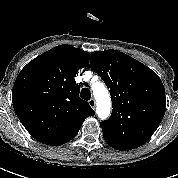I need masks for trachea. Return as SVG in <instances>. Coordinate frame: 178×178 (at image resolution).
Returning <instances> with one entry per match:
<instances>
[{
    "mask_svg": "<svg viewBox=\"0 0 178 178\" xmlns=\"http://www.w3.org/2000/svg\"><path fill=\"white\" fill-rule=\"evenodd\" d=\"M80 96L84 100H90V98H91V92H90V90L88 88H83L81 90Z\"/></svg>",
    "mask_w": 178,
    "mask_h": 178,
    "instance_id": "3493384b",
    "label": "trachea"
}]
</instances>
